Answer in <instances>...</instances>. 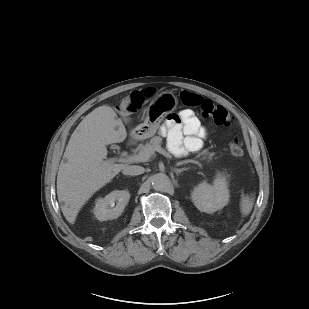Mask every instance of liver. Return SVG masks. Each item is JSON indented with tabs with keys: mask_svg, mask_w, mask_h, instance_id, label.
I'll return each instance as SVG.
<instances>
[{
	"mask_svg": "<svg viewBox=\"0 0 309 309\" xmlns=\"http://www.w3.org/2000/svg\"><path fill=\"white\" fill-rule=\"evenodd\" d=\"M129 100L120 104L125 122ZM127 132L123 120L109 106L103 105L89 113L72 133L57 175V196L61 210L74 224L80 209L92 195L109 183L126 165L106 164L107 145L120 143Z\"/></svg>",
	"mask_w": 309,
	"mask_h": 309,
	"instance_id": "obj_1",
	"label": "liver"
}]
</instances>
